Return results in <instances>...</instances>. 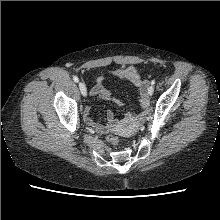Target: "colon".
<instances>
[{
    "label": "colon",
    "instance_id": "obj_1",
    "mask_svg": "<svg viewBox=\"0 0 220 220\" xmlns=\"http://www.w3.org/2000/svg\"><path fill=\"white\" fill-rule=\"evenodd\" d=\"M107 141H108V143L111 144L112 146H117L118 143H119L118 137H117L116 135H114V134H109V135L107 136Z\"/></svg>",
    "mask_w": 220,
    "mask_h": 220
}]
</instances>
